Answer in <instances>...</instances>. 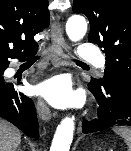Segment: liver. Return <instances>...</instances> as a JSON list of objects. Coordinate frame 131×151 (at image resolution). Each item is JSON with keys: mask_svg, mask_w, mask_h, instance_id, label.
<instances>
[{"mask_svg": "<svg viewBox=\"0 0 131 151\" xmlns=\"http://www.w3.org/2000/svg\"><path fill=\"white\" fill-rule=\"evenodd\" d=\"M21 142V134L17 128L0 119V151H16Z\"/></svg>", "mask_w": 131, "mask_h": 151, "instance_id": "1", "label": "liver"}]
</instances>
